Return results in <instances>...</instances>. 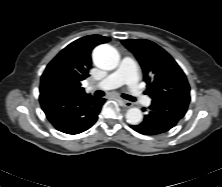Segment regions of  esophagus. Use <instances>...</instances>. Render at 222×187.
Instances as JSON below:
<instances>
[{
  "instance_id": "34e87169",
  "label": "esophagus",
  "mask_w": 222,
  "mask_h": 187,
  "mask_svg": "<svg viewBox=\"0 0 222 187\" xmlns=\"http://www.w3.org/2000/svg\"><path fill=\"white\" fill-rule=\"evenodd\" d=\"M120 102L122 103V105L126 108H130L133 106V103L128 101V100H124V99H120Z\"/></svg>"
}]
</instances>
